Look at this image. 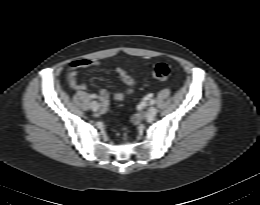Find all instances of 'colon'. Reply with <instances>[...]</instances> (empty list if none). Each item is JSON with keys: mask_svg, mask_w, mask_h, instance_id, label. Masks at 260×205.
Instances as JSON below:
<instances>
[{"mask_svg": "<svg viewBox=\"0 0 260 205\" xmlns=\"http://www.w3.org/2000/svg\"><path fill=\"white\" fill-rule=\"evenodd\" d=\"M150 74L157 80L165 81L170 77L171 69L165 63H158L151 69Z\"/></svg>", "mask_w": 260, "mask_h": 205, "instance_id": "5ec220e1", "label": "colon"}]
</instances>
